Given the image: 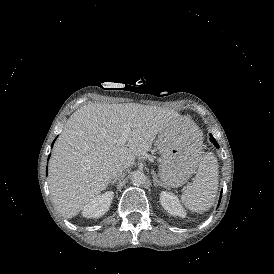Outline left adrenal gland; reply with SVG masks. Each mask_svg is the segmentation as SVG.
<instances>
[{"label":"left adrenal gland","instance_id":"left-adrenal-gland-1","mask_svg":"<svg viewBox=\"0 0 274 274\" xmlns=\"http://www.w3.org/2000/svg\"><path fill=\"white\" fill-rule=\"evenodd\" d=\"M151 174L153 176L154 186H162V183L158 180L157 175L154 170H151Z\"/></svg>","mask_w":274,"mask_h":274}]
</instances>
